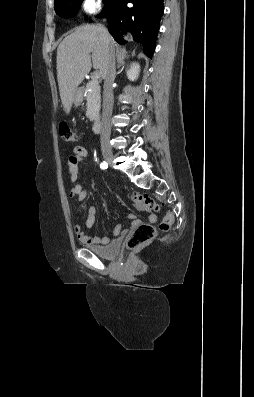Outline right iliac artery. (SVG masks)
<instances>
[{
    "label": "right iliac artery",
    "mask_w": 254,
    "mask_h": 397,
    "mask_svg": "<svg viewBox=\"0 0 254 397\" xmlns=\"http://www.w3.org/2000/svg\"><path fill=\"white\" fill-rule=\"evenodd\" d=\"M101 169H107L108 168V164L104 161L100 164Z\"/></svg>",
    "instance_id": "82829eb1"
}]
</instances>
